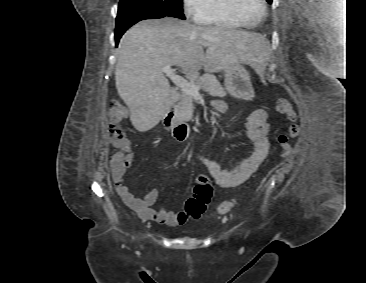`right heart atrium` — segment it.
<instances>
[{
  "mask_svg": "<svg viewBox=\"0 0 366 283\" xmlns=\"http://www.w3.org/2000/svg\"><path fill=\"white\" fill-rule=\"evenodd\" d=\"M208 0H182L185 14L194 19L199 20L206 10Z\"/></svg>",
  "mask_w": 366,
  "mask_h": 283,
  "instance_id": "obj_1",
  "label": "right heart atrium"
}]
</instances>
